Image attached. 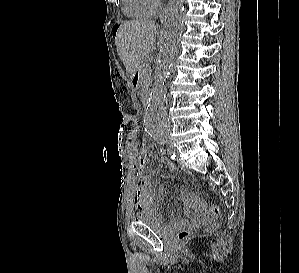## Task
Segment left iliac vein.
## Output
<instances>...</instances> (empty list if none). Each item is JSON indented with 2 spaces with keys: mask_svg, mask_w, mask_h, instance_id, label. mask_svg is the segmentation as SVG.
I'll return each mask as SVG.
<instances>
[{
  "mask_svg": "<svg viewBox=\"0 0 299 273\" xmlns=\"http://www.w3.org/2000/svg\"><path fill=\"white\" fill-rule=\"evenodd\" d=\"M173 152L176 154V155H179V151L177 149H173Z\"/></svg>",
  "mask_w": 299,
  "mask_h": 273,
  "instance_id": "obj_1",
  "label": "left iliac vein"
}]
</instances>
